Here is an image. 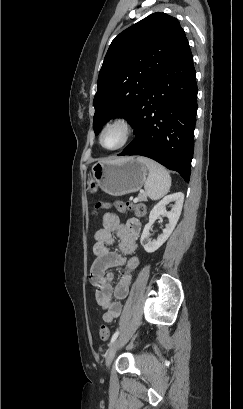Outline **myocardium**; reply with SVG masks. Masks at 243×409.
Segmentation results:
<instances>
[{
  "instance_id": "f54148a6",
  "label": "myocardium",
  "mask_w": 243,
  "mask_h": 409,
  "mask_svg": "<svg viewBox=\"0 0 243 409\" xmlns=\"http://www.w3.org/2000/svg\"><path fill=\"white\" fill-rule=\"evenodd\" d=\"M112 127H117L120 128L123 132V139L121 141V143L119 145H117L116 147L113 148H107L106 146H104V144L102 143V136L104 134V132L106 130H108L109 128ZM133 135V126L132 123L130 122L129 119H127L126 117L123 116H119V117H115L109 121H107L102 128L99 131V135H98V141L100 146L107 150V151H117L122 149L124 146H126L129 141L131 140Z\"/></svg>"
}]
</instances>
